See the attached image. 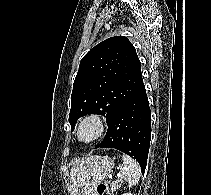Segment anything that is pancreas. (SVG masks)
I'll use <instances>...</instances> for the list:
<instances>
[{
  "instance_id": "cf45deb5",
  "label": "pancreas",
  "mask_w": 211,
  "mask_h": 195,
  "mask_svg": "<svg viewBox=\"0 0 211 195\" xmlns=\"http://www.w3.org/2000/svg\"><path fill=\"white\" fill-rule=\"evenodd\" d=\"M121 187V182L115 181L110 183L111 191H115L116 189Z\"/></svg>"
}]
</instances>
